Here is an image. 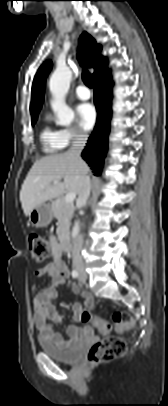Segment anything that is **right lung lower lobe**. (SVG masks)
<instances>
[{
    "label": "right lung lower lobe",
    "instance_id": "right-lung-lower-lobe-1",
    "mask_svg": "<svg viewBox=\"0 0 168 406\" xmlns=\"http://www.w3.org/2000/svg\"><path fill=\"white\" fill-rule=\"evenodd\" d=\"M112 85L110 72L94 80V103L98 113L97 123L82 152V158L93 167L95 175L101 173L108 147Z\"/></svg>",
    "mask_w": 168,
    "mask_h": 406
}]
</instances>
